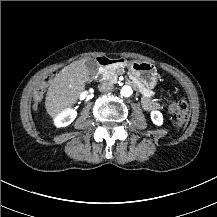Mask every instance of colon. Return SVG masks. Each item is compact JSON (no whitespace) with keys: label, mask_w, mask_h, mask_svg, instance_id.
<instances>
[{"label":"colon","mask_w":217,"mask_h":217,"mask_svg":"<svg viewBox=\"0 0 217 217\" xmlns=\"http://www.w3.org/2000/svg\"><path fill=\"white\" fill-rule=\"evenodd\" d=\"M54 81V74L47 73L45 74L41 83L37 84L33 103L34 110L37 109L38 101H40L43 97V94L47 93L48 89L52 87ZM160 91L163 95L168 96L171 93V87L167 84H163L160 87ZM170 109L174 111L176 125L180 128L184 127L189 120L188 101L184 97H179L171 102Z\"/></svg>","instance_id":"1"}]
</instances>
